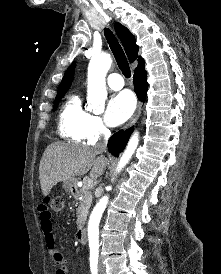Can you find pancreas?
Segmentation results:
<instances>
[{
	"instance_id": "1",
	"label": "pancreas",
	"mask_w": 221,
	"mask_h": 274,
	"mask_svg": "<svg viewBox=\"0 0 221 274\" xmlns=\"http://www.w3.org/2000/svg\"><path fill=\"white\" fill-rule=\"evenodd\" d=\"M76 200H79L81 197L82 199L79 200V206L76 209V214H77V221L76 224L78 228L82 227L85 224L88 210L91 206L92 203V192L88 187L85 185L82 186L80 189V192L74 195Z\"/></svg>"
}]
</instances>
